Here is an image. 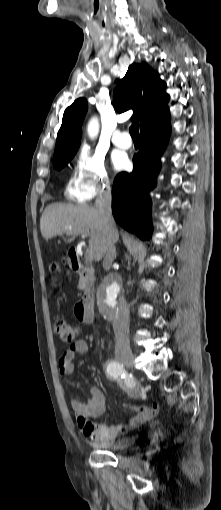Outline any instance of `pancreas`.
I'll return each instance as SVG.
<instances>
[{
    "label": "pancreas",
    "mask_w": 221,
    "mask_h": 510,
    "mask_svg": "<svg viewBox=\"0 0 221 510\" xmlns=\"http://www.w3.org/2000/svg\"><path fill=\"white\" fill-rule=\"evenodd\" d=\"M85 286H86V281H85L84 277L81 276L80 280H79V288L83 289V288H85Z\"/></svg>",
    "instance_id": "pancreas-1"
}]
</instances>
